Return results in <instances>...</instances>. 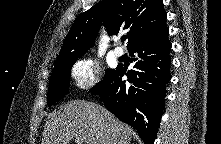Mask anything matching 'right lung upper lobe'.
<instances>
[{"mask_svg":"<svg viewBox=\"0 0 221 144\" xmlns=\"http://www.w3.org/2000/svg\"><path fill=\"white\" fill-rule=\"evenodd\" d=\"M101 22L105 23L109 34L129 30V47L165 24L166 13L162 0H103L76 18L54 67L76 61L88 51L95 42Z\"/></svg>","mask_w":221,"mask_h":144,"instance_id":"obj_1","label":"right lung upper lobe"}]
</instances>
